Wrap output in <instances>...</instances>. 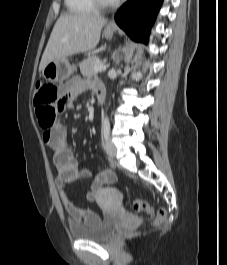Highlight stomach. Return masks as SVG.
<instances>
[{
  "label": "stomach",
  "mask_w": 227,
  "mask_h": 265,
  "mask_svg": "<svg viewBox=\"0 0 227 265\" xmlns=\"http://www.w3.org/2000/svg\"><path fill=\"white\" fill-rule=\"evenodd\" d=\"M104 35L107 38L113 36V30L106 29ZM76 70L75 65H71L67 59L61 61H51L42 70V76L49 82L58 83L69 78Z\"/></svg>",
  "instance_id": "0dacf381"
}]
</instances>
